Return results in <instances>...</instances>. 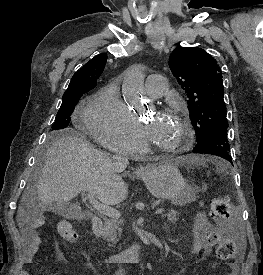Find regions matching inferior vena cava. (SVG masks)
<instances>
[{"instance_id": "inferior-vena-cava-1", "label": "inferior vena cava", "mask_w": 263, "mask_h": 275, "mask_svg": "<svg viewBox=\"0 0 263 275\" xmlns=\"http://www.w3.org/2000/svg\"><path fill=\"white\" fill-rule=\"evenodd\" d=\"M113 161L115 164H119L121 166L126 167L128 165V159L126 156L122 155L121 153L116 154L113 156Z\"/></svg>"}]
</instances>
